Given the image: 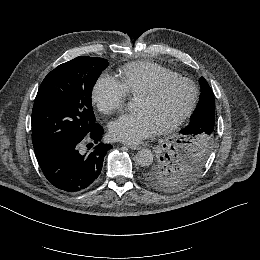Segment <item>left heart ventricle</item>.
I'll return each mask as SVG.
<instances>
[{"label": "left heart ventricle", "instance_id": "1", "mask_svg": "<svg viewBox=\"0 0 260 260\" xmlns=\"http://www.w3.org/2000/svg\"><path fill=\"white\" fill-rule=\"evenodd\" d=\"M158 81L159 78L155 77L150 87L156 85ZM192 94V89L188 84L173 81L155 96H136L135 108L145 109L157 127L183 113L191 101Z\"/></svg>", "mask_w": 260, "mask_h": 260}]
</instances>
